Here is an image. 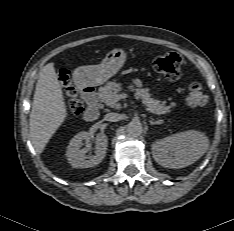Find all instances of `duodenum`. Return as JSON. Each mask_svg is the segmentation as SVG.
<instances>
[{"mask_svg":"<svg viewBox=\"0 0 234 231\" xmlns=\"http://www.w3.org/2000/svg\"><path fill=\"white\" fill-rule=\"evenodd\" d=\"M77 85L87 105L84 112V119L88 122L96 120L99 116V109L96 103L95 88L83 80H77Z\"/></svg>","mask_w":234,"mask_h":231,"instance_id":"obj_1","label":"duodenum"}]
</instances>
